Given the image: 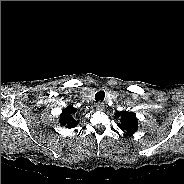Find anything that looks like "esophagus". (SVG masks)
Wrapping results in <instances>:
<instances>
[{
    "instance_id": "obj_1",
    "label": "esophagus",
    "mask_w": 184,
    "mask_h": 184,
    "mask_svg": "<svg viewBox=\"0 0 184 184\" xmlns=\"http://www.w3.org/2000/svg\"><path fill=\"white\" fill-rule=\"evenodd\" d=\"M96 109L102 111L104 109V103L103 102H97L96 103Z\"/></svg>"
}]
</instances>
